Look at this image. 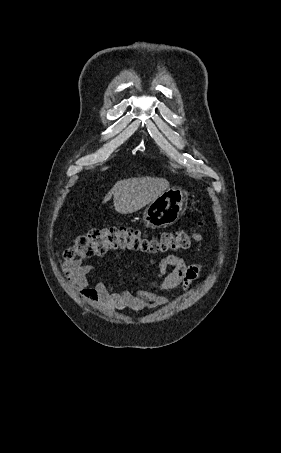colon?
<instances>
[{"mask_svg":"<svg viewBox=\"0 0 281 453\" xmlns=\"http://www.w3.org/2000/svg\"><path fill=\"white\" fill-rule=\"evenodd\" d=\"M202 224L188 230L150 231L138 226H94L77 236L64 253L68 262H86L122 249L147 250L150 255L185 252L198 240Z\"/></svg>","mask_w":281,"mask_h":453,"instance_id":"obj_1","label":"colon"}]
</instances>
